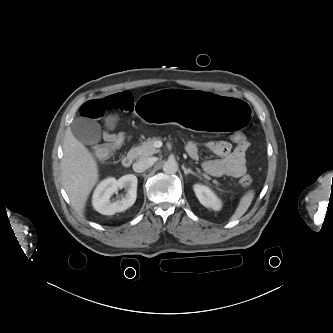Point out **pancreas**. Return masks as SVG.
<instances>
[{
    "label": "pancreas",
    "instance_id": "cf45deb5",
    "mask_svg": "<svg viewBox=\"0 0 333 333\" xmlns=\"http://www.w3.org/2000/svg\"><path fill=\"white\" fill-rule=\"evenodd\" d=\"M160 140L158 137L154 138H148L145 142H143L140 146L132 148L129 151V156L135 159H146L150 156H152L155 153H158L159 150L154 147L155 141ZM198 172H200L198 170ZM205 179H210V177L207 174H202ZM213 183L218 185V182L216 180H213Z\"/></svg>",
    "mask_w": 333,
    "mask_h": 333
}]
</instances>
